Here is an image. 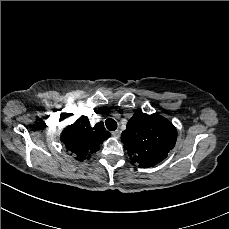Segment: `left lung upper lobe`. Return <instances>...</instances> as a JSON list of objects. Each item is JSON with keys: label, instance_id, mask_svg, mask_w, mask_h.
<instances>
[{"label": "left lung upper lobe", "instance_id": "obj_1", "mask_svg": "<svg viewBox=\"0 0 229 229\" xmlns=\"http://www.w3.org/2000/svg\"><path fill=\"white\" fill-rule=\"evenodd\" d=\"M176 139V128L169 120L141 111L134 113L121 134L130 159L142 168H150L163 161L174 148Z\"/></svg>", "mask_w": 229, "mask_h": 229}]
</instances>
